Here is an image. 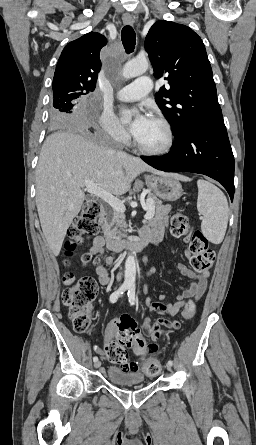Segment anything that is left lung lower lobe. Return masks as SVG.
I'll use <instances>...</instances> for the list:
<instances>
[{
	"mask_svg": "<svg viewBox=\"0 0 256 445\" xmlns=\"http://www.w3.org/2000/svg\"><path fill=\"white\" fill-rule=\"evenodd\" d=\"M175 138L168 154L141 158L158 170L207 175L219 181L233 200L234 156L224 122H192Z\"/></svg>",
	"mask_w": 256,
	"mask_h": 445,
	"instance_id": "obj_1",
	"label": "left lung lower lobe"
}]
</instances>
